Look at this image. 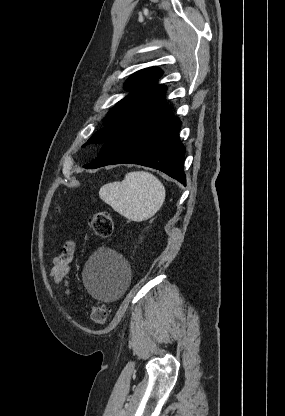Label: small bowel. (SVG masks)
Listing matches in <instances>:
<instances>
[{
    "instance_id": "obj_1",
    "label": "small bowel",
    "mask_w": 285,
    "mask_h": 416,
    "mask_svg": "<svg viewBox=\"0 0 285 416\" xmlns=\"http://www.w3.org/2000/svg\"><path fill=\"white\" fill-rule=\"evenodd\" d=\"M75 250L76 244L74 241L66 242L61 253L52 260L50 268V276L53 282L60 286L66 295L70 293L68 278L70 263L73 259Z\"/></svg>"
}]
</instances>
